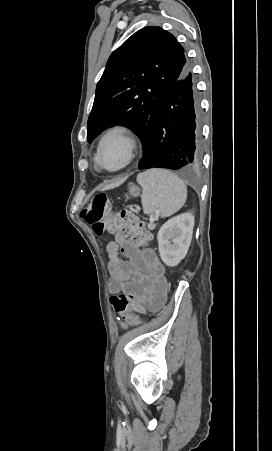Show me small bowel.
I'll return each mask as SVG.
<instances>
[{"instance_id": "c3829d8e", "label": "small bowel", "mask_w": 272, "mask_h": 451, "mask_svg": "<svg viewBox=\"0 0 272 451\" xmlns=\"http://www.w3.org/2000/svg\"><path fill=\"white\" fill-rule=\"evenodd\" d=\"M126 239L114 238L106 245L109 290L114 294L126 291L137 296L148 294L153 306L158 308L164 303L165 268L153 249H139L127 243Z\"/></svg>"}]
</instances>
